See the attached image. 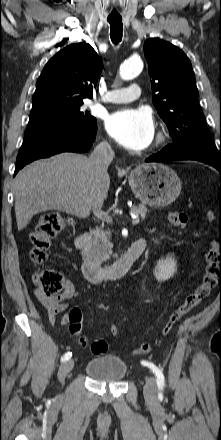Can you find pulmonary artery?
I'll list each match as a JSON object with an SVG mask.
<instances>
[{
  "label": "pulmonary artery",
  "instance_id": "obj_1",
  "mask_svg": "<svg viewBox=\"0 0 221 440\" xmlns=\"http://www.w3.org/2000/svg\"><path fill=\"white\" fill-rule=\"evenodd\" d=\"M141 89L138 84H132L127 88H119L107 92L103 98L104 102L127 103L140 96Z\"/></svg>",
  "mask_w": 221,
  "mask_h": 440
}]
</instances>
